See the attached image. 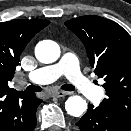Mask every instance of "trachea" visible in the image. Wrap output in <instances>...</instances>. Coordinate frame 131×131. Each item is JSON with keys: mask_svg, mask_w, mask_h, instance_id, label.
<instances>
[{"mask_svg": "<svg viewBox=\"0 0 131 131\" xmlns=\"http://www.w3.org/2000/svg\"><path fill=\"white\" fill-rule=\"evenodd\" d=\"M61 89L65 90V91H74L75 87L71 84H64L61 86ZM27 90L29 91H34V92H40L42 91V88L36 85H29L27 87Z\"/></svg>", "mask_w": 131, "mask_h": 131, "instance_id": "trachea-1", "label": "trachea"}]
</instances>
